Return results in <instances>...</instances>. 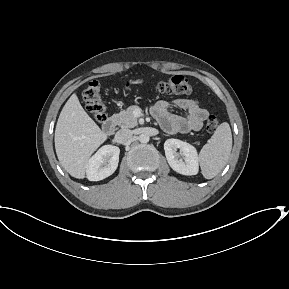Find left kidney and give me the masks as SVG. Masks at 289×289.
<instances>
[{
    "label": "left kidney",
    "mask_w": 289,
    "mask_h": 289,
    "mask_svg": "<svg viewBox=\"0 0 289 289\" xmlns=\"http://www.w3.org/2000/svg\"><path fill=\"white\" fill-rule=\"evenodd\" d=\"M164 150L168 164L174 171L187 176L198 173L199 158L194 146L179 139L171 138L165 141Z\"/></svg>",
    "instance_id": "1"
}]
</instances>
